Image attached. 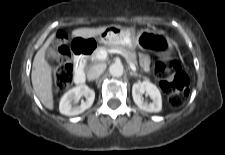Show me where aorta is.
<instances>
[{"label":"aorta","mask_w":225,"mask_h":155,"mask_svg":"<svg viewBox=\"0 0 225 155\" xmlns=\"http://www.w3.org/2000/svg\"><path fill=\"white\" fill-rule=\"evenodd\" d=\"M109 72L114 77H120L124 72L123 65L121 63H113L109 67Z\"/></svg>","instance_id":"762f6f07"}]
</instances>
